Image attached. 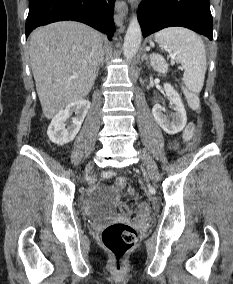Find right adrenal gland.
Returning a JSON list of instances; mask_svg holds the SVG:
<instances>
[{
    "label": "right adrenal gland",
    "mask_w": 233,
    "mask_h": 284,
    "mask_svg": "<svg viewBox=\"0 0 233 284\" xmlns=\"http://www.w3.org/2000/svg\"><path fill=\"white\" fill-rule=\"evenodd\" d=\"M103 64H104V49L102 50L100 59L98 61V65H97V68H96V76H98L100 65H103Z\"/></svg>",
    "instance_id": "2a0ac1e0"
}]
</instances>
